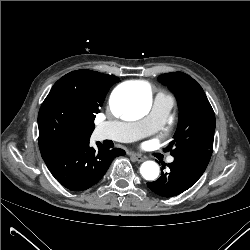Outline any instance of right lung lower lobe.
I'll return each instance as SVG.
<instances>
[{"label": "right lung lower lobe", "instance_id": "obj_1", "mask_svg": "<svg viewBox=\"0 0 250 250\" xmlns=\"http://www.w3.org/2000/svg\"><path fill=\"white\" fill-rule=\"evenodd\" d=\"M89 140L76 141L41 153L52 175L71 191H83L96 184L112 160L125 154L122 149L107 150L102 145L95 150L89 146Z\"/></svg>", "mask_w": 250, "mask_h": 250}]
</instances>
